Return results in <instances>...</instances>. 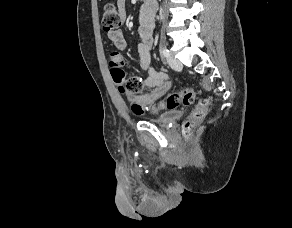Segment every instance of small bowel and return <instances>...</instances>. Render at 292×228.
<instances>
[{"label":"small bowel","mask_w":292,"mask_h":228,"mask_svg":"<svg viewBox=\"0 0 292 228\" xmlns=\"http://www.w3.org/2000/svg\"><path fill=\"white\" fill-rule=\"evenodd\" d=\"M116 6L122 20H124L126 18V0H117ZM155 13L156 5L154 3H144L139 11V42L137 45V50L139 54L138 68L141 72L147 73V77L142 85L141 90L135 95H130V99L134 103L142 106L143 113L145 110L148 111L149 106H153V104L161 97H163L170 89V82L167 73L157 70L152 65L151 49L153 45ZM108 38L116 49L120 51L126 49L127 42L120 29L109 31ZM149 111L152 113H156L158 109L153 106L150 108Z\"/></svg>","instance_id":"c3829d8e"}]
</instances>
